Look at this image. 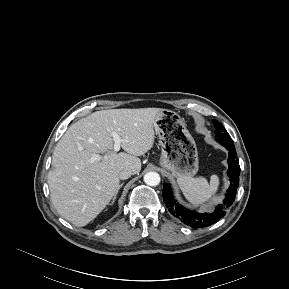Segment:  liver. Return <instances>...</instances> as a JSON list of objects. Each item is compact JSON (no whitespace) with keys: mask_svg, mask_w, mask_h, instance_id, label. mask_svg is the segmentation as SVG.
Listing matches in <instances>:
<instances>
[{"mask_svg":"<svg viewBox=\"0 0 289 289\" xmlns=\"http://www.w3.org/2000/svg\"><path fill=\"white\" fill-rule=\"evenodd\" d=\"M161 109H111L72 124L57 143L48 173L51 201L75 226H85L108 205L119 186V172L141 171L138 156L154 144V120ZM112 132L126 141L113 151ZM100 160L92 161L94 155Z\"/></svg>","mask_w":289,"mask_h":289,"instance_id":"1","label":"liver"}]
</instances>
